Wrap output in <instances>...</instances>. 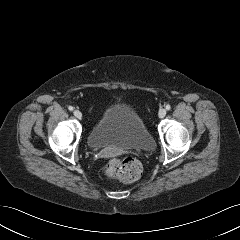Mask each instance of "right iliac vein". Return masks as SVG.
Returning a JSON list of instances; mask_svg holds the SVG:
<instances>
[{
    "instance_id": "right-iliac-vein-1",
    "label": "right iliac vein",
    "mask_w": 240,
    "mask_h": 240,
    "mask_svg": "<svg viewBox=\"0 0 240 240\" xmlns=\"http://www.w3.org/2000/svg\"><path fill=\"white\" fill-rule=\"evenodd\" d=\"M73 114L78 119L82 118V113L79 110H74Z\"/></svg>"
}]
</instances>
